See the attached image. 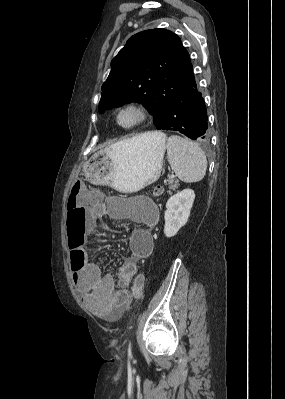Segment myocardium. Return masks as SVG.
Here are the masks:
<instances>
[{"label": "myocardium", "instance_id": "myocardium-1", "mask_svg": "<svg viewBox=\"0 0 285 399\" xmlns=\"http://www.w3.org/2000/svg\"><path fill=\"white\" fill-rule=\"evenodd\" d=\"M128 112L134 113L136 118L131 124L124 125L121 123V116ZM148 117L149 111L144 104L139 102H130L128 104H125L118 110L116 114V123L123 129H132L143 124L148 119Z\"/></svg>", "mask_w": 285, "mask_h": 399}]
</instances>
